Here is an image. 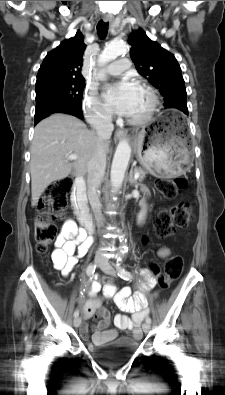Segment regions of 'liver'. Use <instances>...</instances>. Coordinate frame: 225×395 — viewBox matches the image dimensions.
I'll use <instances>...</instances> for the list:
<instances>
[{
  "label": "liver",
  "mask_w": 225,
  "mask_h": 395,
  "mask_svg": "<svg viewBox=\"0 0 225 395\" xmlns=\"http://www.w3.org/2000/svg\"><path fill=\"white\" fill-rule=\"evenodd\" d=\"M97 135L75 116L57 113L37 124L31 144V205L34 207L45 189L56 180L85 175ZM109 140L104 143L109 151ZM77 155L70 163L68 156Z\"/></svg>",
  "instance_id": "1"
}]
</instances>
